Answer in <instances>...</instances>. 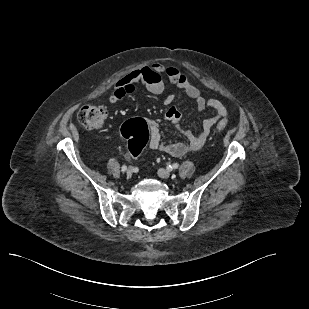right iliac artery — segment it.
Wrapping results in <instances>:
<instances>
[{
  "label": "right iliac artery",
  "instance_id": "82829eb1",
  "mask_svg": "<svg viewBox=\"0 0 309 309\" xmlns=\"http://www.w3.org/2000/svg\"><path fill=\"white\" fill-rule=\"evenodd\" d=\"M121 170H122L123 172H125V171L127 170V166L123 165L122 168H121Z\"/></svg>",
  "mask_w": 309,
  "mask_h": 309
}]
</instances>
